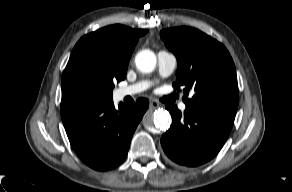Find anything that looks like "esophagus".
Returning a JSON list of instances; mask_svg holds the SVG:
<instances>
[{
  "label": "esophagus",
  "instance_id": "obj_1",
  "mask_svg": "<svg viewBox=\"0 0 292 192\" xmlns=\"http://www.w3.org/2000/svg\"><path fill=\"white\" fill-rule=\"evenodd\" d=\"M149 106L151 109H155V108L159 107V102H157L156 100H152V101H150Z\"/></svg>",
  "mask_w": 292,
  "mask_h": 192
}]
</instances>
